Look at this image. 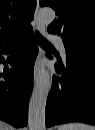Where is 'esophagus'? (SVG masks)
Here are the masks:
<instances>
[{
  "mask_svg": "<svg viewBox=\"0 0 95 130\" xmlns=\"http://www.w3.org/2000/svg\"><path fill=\"white\" fill-rule=\"evenodd\" d=\"M38 14H39V1L37 0L36 9H35V13H34V22L36 25V29L40 33L44 34L45 26L39 20ZM43 54H44V51L41 48H39V53H38L37 61H36L35 68H34V83H36L38 81L39 76H40L41 72L43 71V67L41 65V59L43 57Z\"/></svg>",
  "mask_w": 95,
  "mask_h": 130,
  "instance_id": "34e87169",
  "label": "esophagus"
}]
</instances>
